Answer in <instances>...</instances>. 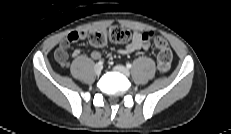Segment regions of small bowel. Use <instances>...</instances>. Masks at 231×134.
<instances>
[{
  "mask_svg": "<svg viewBox=\"0 0 231 134\" xmlns=\"http://www.w3.org/2000/svg\"><path fill=\"white\" fill-rule=\"evenodd\" d=\"M87 37V32L85 30H77L70 32L64 40L60 43L58 48L55 51L54 57L55 60L62 66L68 65V53L67 49L72 43L77 42L78 40H83ZM153 33L151 32H140L133 31L131 34V40L128 44L124 45L121 48L116 50V53L120 55H127L133 52H138L141 50H149L152 46ZM83 54L82 49H75L72 52L73 57H79ZM90 56L93 59H100L102 53L98 50H93L90 53Z\"/></svg>",
  "mask_w": 231,
  "mask_h": 134,
  "instance_id": "small-bowel-1",
  "label": "small bowel"
}]
</instances>
